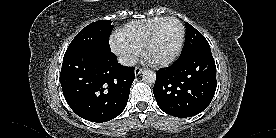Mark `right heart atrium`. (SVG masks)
<instances>
[{
	"instance_id": "d8ad5b80",
	"label": "right heart atrium",
	"mask_w": 276,
	"mask_h": 138,
	"mask_svg": "<svg viewBox=\"0 0 276 138\" xmlns=\"http://www.w3.org/2000/svg\"><path fill=\"white\" fill-rule=\"evenodd\" d=\"M111 48L126 64H133L140 53V50L119 40L118 37L111 40Z\"/></svg>"
}]
</instances>
